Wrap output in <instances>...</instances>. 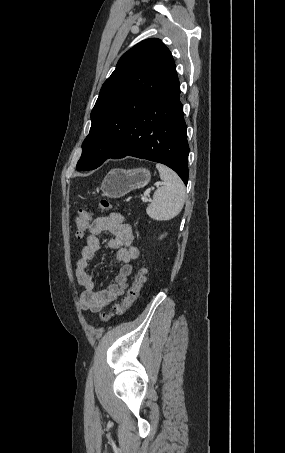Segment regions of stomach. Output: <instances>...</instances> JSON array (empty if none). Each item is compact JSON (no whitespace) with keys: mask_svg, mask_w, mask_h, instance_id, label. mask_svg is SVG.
I'll use <instances>...</instances> for the list:
<instances>
[{"mask_svg":"<svg viewBox=\"0 0 285 453\" xmlns=\"http://www.w3.org/2000/svg\"><path fill=\"white\" fill-rule=\"evenodd\" d=\"M151 179V173L145 168L112 169L101 183L103 195L108 198H121L130 191L145 187Z\"/></svg>","mask_w":285,"mask_h":453,"instance_id":"obj_1","label":"stomach"}]
</instances>
